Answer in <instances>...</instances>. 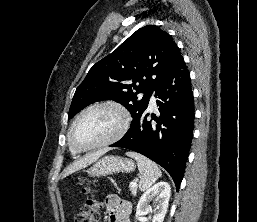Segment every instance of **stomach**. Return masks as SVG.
<instances>
[{
	"mask_svg": "<svg viewBox=\"0 0 257 222\" xmlns=\"http://www.w3.org/2000/svg\"><path fill=\"white\" fill-rule=\"evenodd\" d=\"M135 164L132 160L119 156H105L98 160L87 172L90 176L99 177L118 172L134 171Z\"/></svg>",
	"mask_w": 257,
	"mask_h": 222,
	"instance_id": "1",
	"label": "stomach"
}]
</instances>
